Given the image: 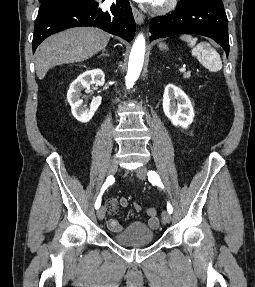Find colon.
Instances as JSON below:
<instances>
[{"label": "colon", "instance_id": "5ec220e1", "mask_svg": "<svg viewBox=\"0 0 255 287\" xmlns=\"http://www.w3.org/2000/svg\"><path fill=\"white\" fill-rule=\"evenodd\" d=\"M146 212L150 217H156V218L158 217V211L155 208L152 207L147 208Z\"/></svg>", "mask_w": 255, "mask_h": 287}]
</instances>
